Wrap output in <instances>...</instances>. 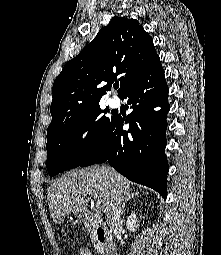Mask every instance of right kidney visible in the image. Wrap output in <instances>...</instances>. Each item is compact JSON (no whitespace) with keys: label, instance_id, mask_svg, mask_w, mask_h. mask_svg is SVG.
I'll list each match as a JSON object with an SVG mask.
<instances>
[{"label":"right kidney","instance_id":"ca27d5eb","mask_svg":"<svg viewBox=\"0 0 221 255\" xmlns=\"http://www.w3.org/2000/svg\"><path fill=\"white\" fill-rule=\"evenodd\" d=\"M126 226H127V229L132 232H135L138 229L139 224H138L136 212H132L131 215L127 217Z\"/></svg>","mask_w":221,"mask_h":255}]
</instances>
